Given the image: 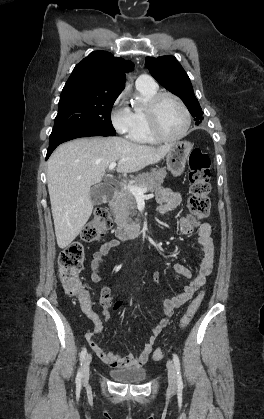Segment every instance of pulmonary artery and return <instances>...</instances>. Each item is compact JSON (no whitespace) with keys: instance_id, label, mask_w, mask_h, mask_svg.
<instances>
[{"instance_id":"e3ab8cb5","label":"pulmonary artery","mask_w":264,"mask_h":419,"mask_svg":"<svg viewBox=\"0 0 264 419\" xmlns=\"http://www.w3.org/2000/svg\"><path fill=\"white\" fill-rule=\"evenodd\" d=\"M155 84L154 79L149 75H140L136 80L138 86H153Z\"/></svg>"}]
</instances>
